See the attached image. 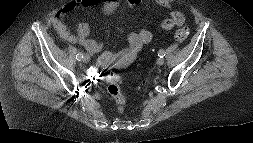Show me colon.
Segmentation results:
<instances>
[{
	"label": "colon",
	"instance_id": "colon-1",
	"mask_svg": "<svg viewBox=\"0 0 253 143\" xmlns=\"http://www.w3.org/2000/svg\"><path fill=\"white\" fill-rule=\"evenodd\" d=\"M187 37H188V30L186 28L178 29L173 34V38L177 42H183L186 40ZM134 58L129 57L118 62L114 58L106 56L100 59L99 65L102 68H108L112 66L123 67L130 64L134 60ZM101 79L107 83V91L111 96V98L117 103L118 109L120 111H123L126 105V98L123 95L119 86V84L123 80V77L118 73L107 70L101 74Z\"/></svg>",
	"mask_w": 253,
	"mask_h": 143
}]
</instances>
